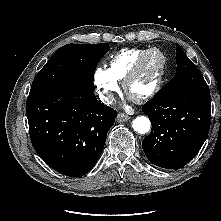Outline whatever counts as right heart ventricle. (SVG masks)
<instances>
[{
	"instance_id": "obj_1",
	"label": "right heart ventricle",
	"mask_w": 221,
	"mask_h": 221,
	"mask_svg": "<svg viewBox=\"0 0 221 221\" xmlns=\"http://www.w3.org/2000/svg\"><path fill=\"white\" fill-rule=\"evenodd\" d=\"M147 49H122L116 53L109 62L108 70L117 79L123 80L135 61Z\"/></svg>"
}]
</instances>
